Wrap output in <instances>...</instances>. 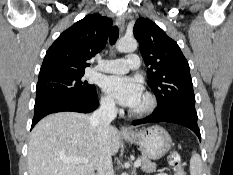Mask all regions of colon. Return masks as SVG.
<instances>
[{"label":"colon","instance_id":"5ec220e1","mask_svg":"<svg viewBox=\"0 0 233 175\" xmlns=\"http://www.w3.org/2000/svg\"><path fill=\"white\" fill-rule=\"evenodd\" d=\"M169 163L174 170V175H187V172L183 168L182 156L179 152L171 153Z\"/></svg>","mask_w":233,"mask_h":175}]
</instances>
